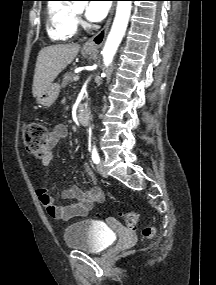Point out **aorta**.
I'll return each mask as SVG.
<instances>
[{
	"label": "aorta",
	"instance_id": "aorta-1",
	"mask_svg": "<svg viewBox=\"0 0 216 285\" xmlns=\"http://www.w3.org/2000/svg\"><path fill=\"white\" fill-rule=\"evenodd\" d=\"M131 8L132 1L117 2L114 22L102 51L104 65L106 67H108L112 63L116 51L125 34L131 13Z\"/></svg>",
	"mask_w": 216,
	"mask_h": 285
}]
</instances>
